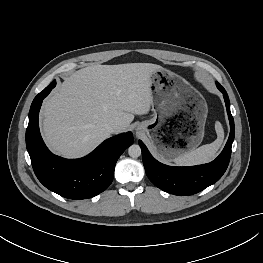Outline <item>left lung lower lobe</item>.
<instances>
[{
	"label": "left lung lower lobe",
	"mask_w": 263,
	"mask_h": 263,
	"mask_svg": "<svg viewBox=\"0 0 263 263\" xmlns=\"http://www.w3.org/2000/svg\"><path fill=\"white\" fill-rule=\"evenodd\" d=\"M216 85L224 96L230 121V135L223 151L214 161L190 167L167 166L153 158L143 142L139 140L146 174L150 181L161 190L179 196L192 195L214 184L226 171L235 136L234 119L230 112L228 94L218 82Z\"/></svg>",
	"instance_id": "obj_1"
}]
</instances>
